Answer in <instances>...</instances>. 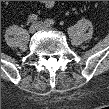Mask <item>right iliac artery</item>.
<instances>
[{
	"instance_id": "82829eb1",
	"label": "right iliac artery",
	"mask_w": 109,
	"mask_h": 109,
	"mask_svg": "<svg viewBox=\"0 0 109 109\" xmlns=\"http://www.w3.org/2000/svg\"><path fill=\"white\" fill-rule=\"evenodd\" d=\"M36 21H37V15H35V14L29 15V17H28V22L29 23H34Z\"/></svg>"
}]
</instances>
